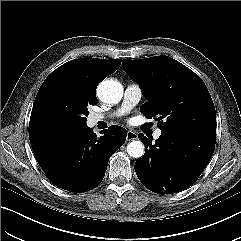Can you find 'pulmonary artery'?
<instances>
[{
    "mask_svg": "<svg viewBox=\"0 0 241 241\" xmlns=\"http://www.w3.org/2000/svg\"><path fill=\"white\" fill-rule=\"evenodd\" d=\"M141 97L142 90L140 86L137 84H129L124 91L123 102L115 112H113L109 116L99 113L91 114L89 117V121L91 124H96L100 121L105 120L107 117L121 116L130 111L134 106H136L140 101ZM160 136L161 130L156 129L154 132V138L158 139Z\"/></svg>",
    "mask_w": 241,
    "mask_h": 241,
    "instance_id": "obj_1",
    "label": "pulmonary artery"
}]
</instances>
